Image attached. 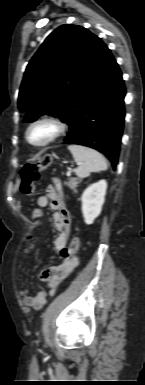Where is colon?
<instances>
[{
  "label": "colon",
  "instance_id": "colon-1",
  "mask_svg": "<svg viewBox=\"0 0 145 385\" xmlns=\"http://www.w3.org/2000/svg\"><path fill=\"white\" fill-rule=\"evenodd\" d=\"M52 162L50 155L43 156L38 162L27 164L20 174V190L25 195H31L34 192L36 183L41 179L43 168ZM32 216L39 220L42 217L40 209H34ZM79 241L74 238L68 246L60 250L61 257L69 260L74 266L76 265L75 252L78 249Z\"/></svg>",
  "mask_w": 145,
  "mask_h": 385
}]
</instances>
